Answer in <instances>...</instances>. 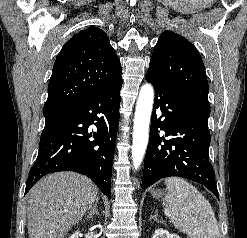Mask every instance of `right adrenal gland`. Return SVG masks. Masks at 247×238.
Here are the masks:
<instances>
[{
	"label": "right adrenal gland",
	"instance_id": "2a0ac1e0",
	"mask_svg": "<svg viewBox=\"0 0 247 238\" xmlns=\"http://www.w3.org/2000/svg\"><path fill=\"white\" fill-rule=\"evenodd\" d=\"M97 203H98V199L96 200L95 204L92 206L90 211L87 212V219L93 218L94 215H99V211L97 209Z\"/></svg>",
	"mask_w": 247,
	"mask_h": 238
}]
</instances>
